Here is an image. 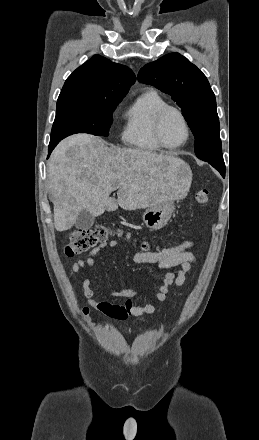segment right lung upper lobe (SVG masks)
Here are the masks:
<instances>
[{"label": "right lung upper lobe", "mask_w": 259, "mask_h": 440, "mask_svg": "<svg viewBox=\"0 0 259 440\" xmlns=\"http://www.w3.org/2000/svg\"><path fill=\"white\" fill-rule=\"evenodd\" d=\"M135 80L134 73L127 66L94 55L67 78L59 98L97 102L123 99Z\"/></svg>", "instance_id": "obj_1"}]
</instances>
